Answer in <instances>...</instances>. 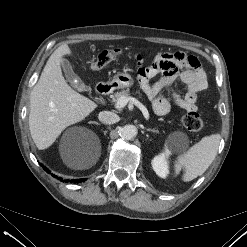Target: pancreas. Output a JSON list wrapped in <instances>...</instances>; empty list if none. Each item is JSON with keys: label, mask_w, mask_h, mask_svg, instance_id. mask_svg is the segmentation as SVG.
<instances>
[{"label": "pancreas", "mask_w": 247, "mask_h": 247, "mask_svg": "<svg viewBox=\"0 0 247 247\" xmlns=\"http://www.w3.org/2000/svg\"><path fill=\"white\" fill-rule=\"evenodd\" d=\"M122 96L125 97H130V90L126 89V90H122L120 92H116L113 97H112V101L116 102L119 98H121Z\"/></svg>", "instance_id": "pancreas-1"}]
</instances>
